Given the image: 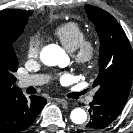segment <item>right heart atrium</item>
Instances as JSON below:
<instances>
[{"mask_svg":"<svg viewBox=\"0 0 133 133\" xmlns=\"http://www.w3.org/2000/svg\"><path fill=\"white\" fill-rule=\"evenodd\" d=\"M43 39L39 35H33L26 44V55L30 59H36L39 56Z\"/></svg>","mask_w":133,"mask_h":133,"instance_id":"right-heart-atrium-1","label":"right heart atrium"}]
</instances>
